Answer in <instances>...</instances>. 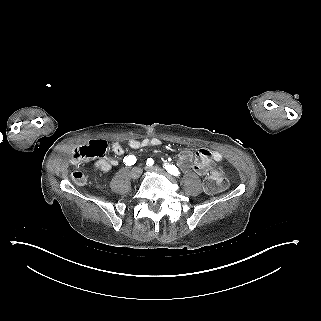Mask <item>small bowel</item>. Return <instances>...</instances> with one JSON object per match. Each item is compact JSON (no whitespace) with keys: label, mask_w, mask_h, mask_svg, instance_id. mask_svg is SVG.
<instances>
[{"label":"small bowel","mask_w":321,"mask_h":321,"mask_svg":"<svg viewBox=\"0 0 321 321\" xmlns=\"http://www.w3.org/2000/svg\"><path fill=\"white\" fill-rule=\"evenodd\" d=\"M91 144L102 148V153L98 156H95L98 157V159L94 164V170H102L103 172L107 173L117 165V161L115 159L105 156V152L108 148L118 156L124 154V149L119 142H113L110 147L108 146L107 142L102 140L94 141ZM128 144L132 149H139L143 147L157 146L161 144V141L158 138L142 140L132 139ZM222 159V154L217 151L200 149L193 154L191 151L185 150L181 152L179 156L178 166L184 171L194 170L200 175H206L211 170L213 165L217 162H220Z\"/></svg>","instance_id":"1"}]
</instances>
